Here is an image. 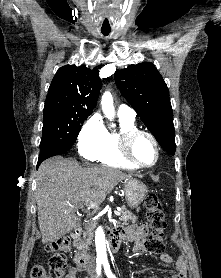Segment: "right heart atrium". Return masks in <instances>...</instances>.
<instances>
[{
    "label": "right heart atrium",
    "mask_w": 221,
    "mask_h": 278,
    "mask_svg": "<svg viewBox=\"0 0 221 278\" xmlns=\"http://www.w3.org/2000/svg\"><path fill=\"white\" fill-rule=\"evenodd\" d=\"M107 129L98 114L91 116L82 126L78 135V152L87 161H94L101 152Z\"/></svg>",
    "instance_id": "right-heart-atrium-1"
}]
</instances>
